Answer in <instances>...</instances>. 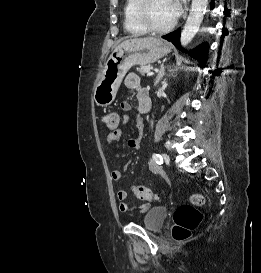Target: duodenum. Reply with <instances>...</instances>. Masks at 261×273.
Returning <instances> with one entry per match:
<instances>
[{"instance_id": "obj_1", "label": "duodenum", "mask_w": 261, "mask_h": 273, "mask_svg": "<svg viewBox=\"0 0 261 273\" xmlns=\"http://www.w3.org/2000/svg\"><path fill=\"white\" fill-rule=\"evenodd\" d=\"M150 106H151L150 98L148 95H145L144 101L141 105V112L142 113L148 112V110L150 109Z\"/></svg>"}]
</instances>
